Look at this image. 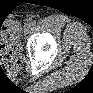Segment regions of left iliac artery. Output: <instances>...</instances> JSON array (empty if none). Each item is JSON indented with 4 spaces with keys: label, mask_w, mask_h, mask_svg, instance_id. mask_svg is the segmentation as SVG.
Wrapping results in <instances>:
<instances>
[{
    "label": "left iliac artery",
    "mask_w": 93,
    "mask_h": 93,
    "mask_svg": "<svg viewBox=\"0 0 93 93\" xmlns=\"http://www.w3.org/2000/svg\"><path fill=\"white\" fill-rule=\"evenodd\" d=\"M35 24H36V21L33 20V21L31 22V26H34Z\"/></svg>",
    "instance_id": "44dca946"
}]
</instances>
